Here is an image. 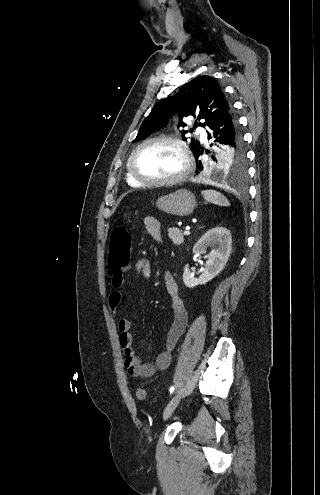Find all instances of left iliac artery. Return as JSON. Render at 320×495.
Listing matches in <instances>:
<instances>
[{"label": "left iliac artery", "instance_id": "44dca946", "mask_svg": "<svg viewBox=\"0 0 320 495\" xmlns=\"http://www.w3.org/2000/svg\"><path fill=\"white\" fill-rule=\"evenodd\" d=\"M174 389H175V388L172 386V387L169 389L170 393H172V392L174 391Z\"/></svg>", "mask_w": 320, "mask_h": 495}]
</instances>
